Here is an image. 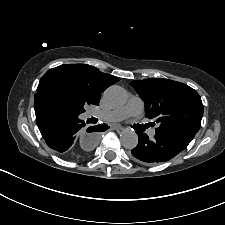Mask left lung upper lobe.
<instances>
[{"mask_svg": "<svg viewBox=\"0 0 225 225\" xmlns=\"http://www.w3.org/2000/svg\"><path fill=\"white\" fill-rule=\"evenodd\" d=\"M130 84L145 102L146 117L159 124L156 133L198 132L203 104L196 90L164 78L136 80Z\"/></svg>", "mask_w": 225, "mask_h": 225, "instance_id": "obj_1", "label": "left lung upper lobe"}]
</instances>
